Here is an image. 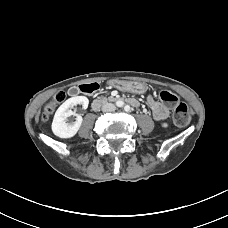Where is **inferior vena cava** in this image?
<instances>
[{"label":"inferior vena cava","instance_id":"inferior-vena-cava-1","mask_svg":"<svg viewBox=\"0 0 228 228\" xmlns=\"http://www.w3.org/2000/svg\"><path fill=\"white\" fill-rule=\"evenodd\" d=\"M102 110L105 112L108 111H115L116 110V106L112 103H106L103 105Z\"/></svg>","mask_w":228,"mask_h":228}]
</instances>
